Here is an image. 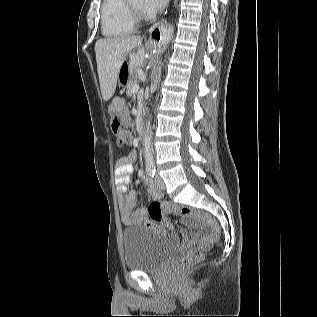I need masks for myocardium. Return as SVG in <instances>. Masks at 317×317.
Here are the masks:
<instances>
[{"label": "myocardium", "mask_w": 317, "mask_h": 317, "mask_svg": "<svg viewBox=\"0 0 317 317\" xmlns=\"http://www.w3.org/2000/svg\"><path fill=\"white\" fill-rule=\"evenodd\" d=\"M128 6L131 12V15L136 23H141L147 19V16L143 12V10L134 7L131 1H129Z\"/></svg>", "instance_id": "1"}]
</instances>
